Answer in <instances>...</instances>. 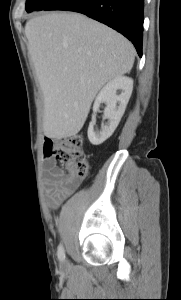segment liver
Wrapping results in <instances>:
<instances>
[{"label": "liver", "mask_w": 181, "mask_h": 300, "mask_svg": "<svg viewBox=\"0 0 181 300\" xmlns=\"http://www.w3.org/2000/svg\"><path fill=\"white\" fill-rule=\"evenodd\" d=\"M25 35L44 97V134L75 136L99 90L132 69L135 49L120 33L74 12L34 17Z\"/></svg>", "instance_id": "6515ba94"}]
</instances>
